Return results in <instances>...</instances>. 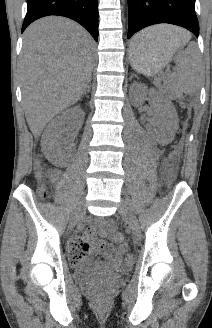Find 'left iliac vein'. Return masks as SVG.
I'll return each mask as SVG.
<instances>
[{
	"mask_svg": "<svg viewBox=\"0 0 212 328\" xmlns=\"http://www.w3.org/2000/svg\"><path fill=\"white\" fill-rule=\"evenodd\" d=\"M119 213L121 214L123 219L128 223L133 234L136 237H138L140 234V226H139L138 219L136 218L135 214L133 213V210L125 200H122L120 203Z\"/></svg>",
	"mask_w": 212,
	"mask_h": 328,
	"instance_id": "left-iliac-vein-1",
	"label": "left iliac vein"
}]
</instances>
